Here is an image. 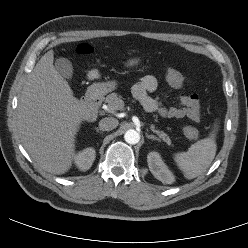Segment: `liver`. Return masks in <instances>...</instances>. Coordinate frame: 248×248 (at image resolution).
Instances as JSON below:
<instances>
[{"mask_svg": "<svg viewBox=\"0 0 248 248\" xmlns=\"http://www.w3.org/2000/svg\"><path fill=\"white\" fill-rule=\"evenodd\" d=\"M53 60L50 50L28 75L17 107V129L33 161L60 175L72 166L75 136L82 121L90 118V109L73 96Z\"/></svg>", "mask_w": 248, "mask_h": 248, "instance_id": "obj_1", "label": "liver"}]
</instances>
